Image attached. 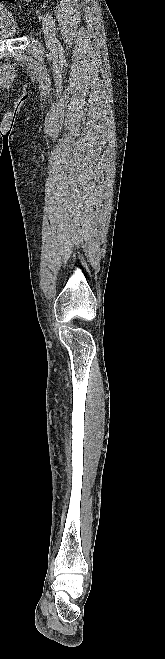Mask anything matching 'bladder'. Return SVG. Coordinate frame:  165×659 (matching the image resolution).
Listing matches in <instances>:
<instances>
[{"mask_svg":"<svg viewBox=\"0 0 165 659\" xmlns=\"http://www.w3.org/2000/svg\"><path fill=\"white\" fill-rule=\"evenodd\" d=\"M18 33L16 18L7 7L0 5V39H13Z\"/></svg>","mask_w":165,"mask_h":659,"instance_id":"31cf9c89","label":"bladder"}]
</instances>
